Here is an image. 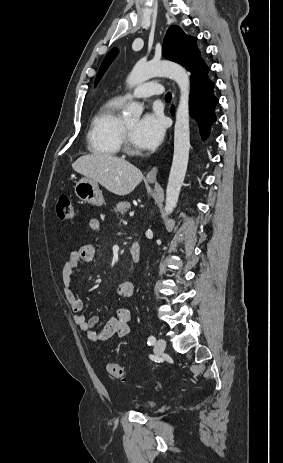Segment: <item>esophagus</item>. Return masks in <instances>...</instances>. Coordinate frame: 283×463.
<instances>
[{"mask_svg": "<svg viewBox=\"0 0 283 463\" xmlns=\"http://www.w3.org/2000/svg\"><path fill=\"white\" fill-rule=\"evenodd\" d=\"M158 166L152 167L146 175V180L150 182L156 181Z\"/></svg>", "mask_w": 283, "mask_h": 463, "instance_id": "obj_1", "label": "esophagus"}]
</instances>
